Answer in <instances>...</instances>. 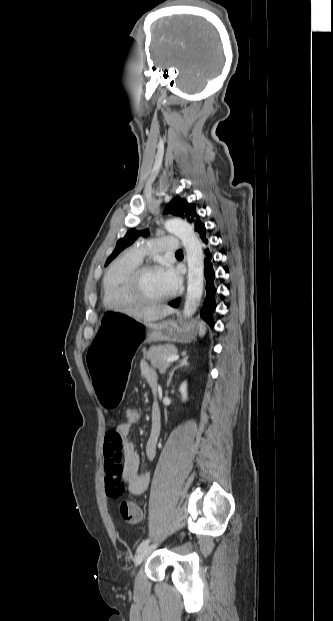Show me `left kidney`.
<instances>
[{
	"label": "left kidney",
	"mask_w": 333,
	"mask_h": 621,
	"mask_svg": "<svg viewBox=\"0 0 333 621\" xmlns=\"http://www.w3.org/2000/svg\"><path fill=\"white\" fill-rule=\"evenodd\" d=\"M180 393H181V396H182V400L186 401V399H187V383L186 382H183L181 384V386H180Z\"/></svg>",
	"instance_id": "left-kidney-1"
}]
</instances>
